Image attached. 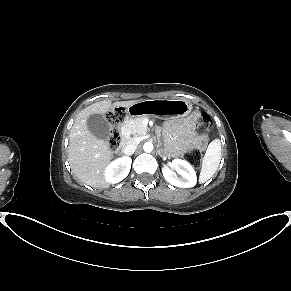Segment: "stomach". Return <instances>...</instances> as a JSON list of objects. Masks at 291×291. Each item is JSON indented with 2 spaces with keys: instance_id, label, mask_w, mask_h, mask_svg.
<instances>
[{
  "instance_id": "1",
  "label": "stomach",
  "mask_w": 291,
  "mask_h": 291,
  "mask_svg": "<svg viewBox=\"0 0 291 291\" xmlns=\"http://www.w3.org/2000/svg\"><path fill=\"white\" fill-rule=\"evenodd\" d=\"M192 105L185 100H143L127 107L128 118H184Z\"/></svg>"
}]
</instances>
